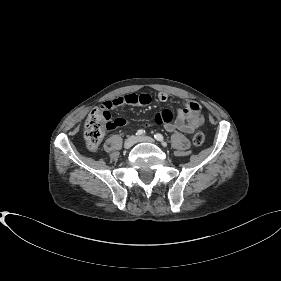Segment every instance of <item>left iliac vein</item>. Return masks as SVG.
Here are the masks:
<instances>
[{"label": "left iliac vein", "mask_w": 281, "mask_h": 281, "mask_svg": "<svg viewBox=\"0 0 281 281\" xmlns=\"http://www.w3.org/2000/svg\"><path fill=\"white\" fill-rule=\"evenodd\" d=\"M137 142L155 143V140L152 137H149V136H140V137L137 138Z\"/></svg>", "instance_id": "4c4485c4"}]
</instances>
